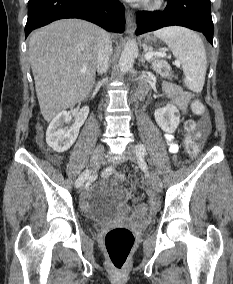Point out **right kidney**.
Segmentation results:
<instances>
[{
  "label": "right kidney",
  "mask_w": 233,
  "mask_h": 284,
  "mask_svg": "<svg viewBox=\"0 0 233 284\" xmlns=\"http://www.w3.org/2000/svg\"><path fill=\"white\" fill-rule=\"evenodd\" d=\"M73 112V110H72ZM89 114V107L85 106L77 112H73L75 117L73 125L69 129H64L71 117L66 111L60 112L49 124L46 131V142L56 152L67 151L78 137L80 127L84 124Z\"/></svg>",
  "instance_id": "ca27d5eb"
}]
</instances>
